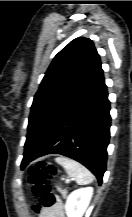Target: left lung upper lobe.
<instances>
[{"instance_id": "5c2ea615", "label": "left lung upper lobe", "mask_w": 132, "mask_h": 217, "mask_svg": "<svg viewBox=\"0 0 132 217\" xmlns=\"http://www.w3.org/2000/svg\"><path fill=\"white\" fill-rule=\"evenodd\" d=\"M100 69V57L93 42L87 38L72 40L55 56L33 100L24 154L35 148Z\"/></svg>"}]
</instances>
